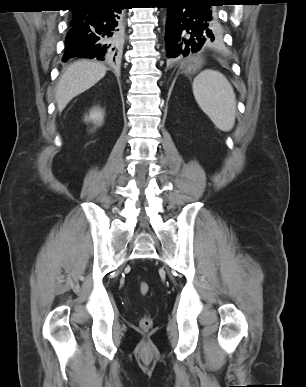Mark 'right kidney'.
<instances>
[{"instance_id": "ca27d5eb", "label": "right kidney", "mask_w": 306, "mask_h": 387, "mask_svg": "<svg viewBox=\"0 0 306 387\" xmlns=\"http://www.w3.org/2000/svg\"><path fill=\"white\" fill-rule=\"evenodd\" d=\"M89 120L97 125H101L103 121V112L98 108L93 109L90 112Z\"/></svg>"}]
</instances>
